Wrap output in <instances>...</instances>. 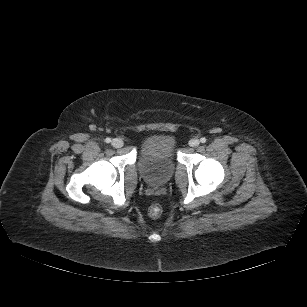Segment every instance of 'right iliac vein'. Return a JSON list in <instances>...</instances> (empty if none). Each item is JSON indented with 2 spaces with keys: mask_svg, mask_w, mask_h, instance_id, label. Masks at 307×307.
<instances>
[{
  "mask_svg": "<svg viewBox=\"0 0 307 307\" xmlns=\"http://www.w3.org/2000/svg\"><path fill=\"white\" fill-rule=\"evenodd\" d=\"M111 144L115 148H121L124 143H123V141L121 139L115 138V139L112 140Z\"/></svg>",
  "mask_w": 307,
  "mask_h": 307,
  "instance_id": "obj_1",
  "label": "right iliac vein"
}]
</instances>
